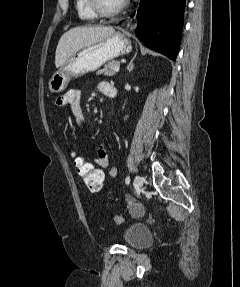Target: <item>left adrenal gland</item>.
Wrapping results in <instances>:
<instances>
[{
	"label": "left adrenal gland",
	"mask_w": 240,
	"mask_h": 287,
	"mask_svg": "<svg viewBox=\"0 0 240 287\" xmlns=\"http://www.w3.org/2000/svg\"><path fill=\"white\" fill-rule=\"evenodd\" d=\"M127 69H128L129 72L133 71V69H134V63H133V61H131V62L128 64Z\"/></svg>",
	"instance_id": "a2214340"
}]
</instances>
